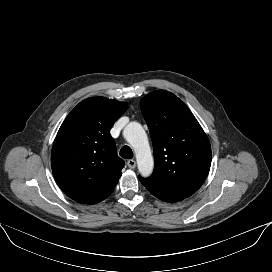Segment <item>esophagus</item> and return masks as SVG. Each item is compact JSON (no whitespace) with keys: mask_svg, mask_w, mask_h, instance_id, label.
Segmentation results:
<instances>
[{"mask_svg":"<svg viewBox=\"0 0 272 272\" xmlns=\"http://www.w3.org/2000/svg\"><path fill=\"white\" fill-rule=\"evenodd\" d=\"M127 165L130 169H134L136 167V161L131 159L127 161Z\"/></svg>","mask_w":272,"mask_h":272,"instance_id":"esophagus-1","label":"esophagus"}]
</instances>
